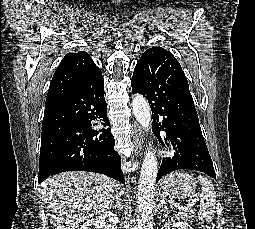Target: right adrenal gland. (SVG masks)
<instances>
[{"label":"right adrenal gland","mask_w":255,"mask_h":229,"mask_svg":"<svg viewBox=\"0 0 255 229\" xmlns=\"http://www.w3.org/2000/svg\"><path fill=\"white\" fill-rule=\"evenodd\" d=\"M118 204L114 205L111 207L113 210H117L118 212L122 209V204L121 202H117Z\"/></svg>","instance_id":"right-adrenal-gland-1"}]
</instances>
